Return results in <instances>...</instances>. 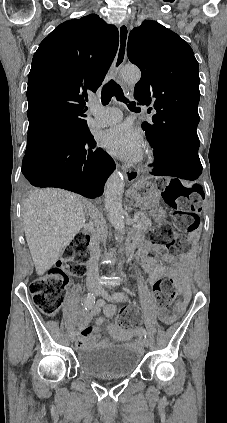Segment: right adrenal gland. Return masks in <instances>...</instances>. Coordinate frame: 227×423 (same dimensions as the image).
Returning <instances> with one entry per match:
<instances>
[{"label": "right adrenal gland", "mask_w": 227, "mask_h": 423, "mask_svg": "<svg viewBox=\"0 0 227 423\" xmlns=\"http://www.w3.org/2000/svg\"><path fill=\"white\" fill-rule=\"evenodd\" d=\"M84 210H85V213H87V208H85V206H84Z\"/></svg>", "instance_id": "2a0ac1e0"}]
</instances>
